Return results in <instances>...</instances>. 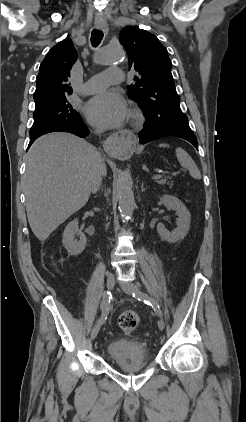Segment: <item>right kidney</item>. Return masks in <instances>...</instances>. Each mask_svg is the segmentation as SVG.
Returning <instances> with one entry per match:
<instances>
[{
  "instance_id": "ca27d5eb",
  "label": "right kidney",
  "mask_w": 246,
  "mask_h": 422,
  "mask_svg": "<svg viewBox=\"0 0 246 422\" xmlns=\"http://www.w3.org/2000/svg\"><path fill=\"white\" fill-rule=\"evenodd\" d=\"M79 236V241L75 239ZM63 245L70 255L77 256L83 252L86 246V236L79 230L78 219L71 221L63 232Z\"/></svg>"
}]
</instances>
